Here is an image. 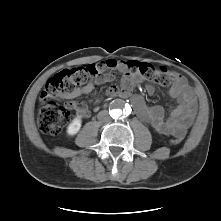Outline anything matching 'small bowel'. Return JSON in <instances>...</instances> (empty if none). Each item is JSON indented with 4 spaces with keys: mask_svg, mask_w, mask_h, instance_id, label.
<instances>
[{
    "mask_svg": "<svg viewBox=\"0 0 221 221\" xmlns=\"http://www.w3.org/2000/svg\"><path fill=\"white\" fill-rule=\"evenodd\" d=\"M110 70L122 72L120 86H113L119 90L117 95L125 98L130 97L138 117L148 124L157 134L179 135L183 137L193 122L196 111V98L185 80L178 78L168 90V95L176 101V106L170 111L169 116L165 118L164 109L159 105L149 106L144 98L138 94H133V88L138 81V77L128 70L126 61L109 59L97 66L98 78L95 82L87 83L73 91L62 95L64 99L69 100L66 103L67 108L76 111L82 117H88L90 111L84 103H77L74 99L91 93L97 86L111 82L113 75ZM148 94H153L155 89L152 85L146 87Z\"/></svg>",
    "mask_w": 221,
    "mask_h": 221,
    "instance_id": "small-bowel-1",
    "label": "small bowel"
}]
</instances>
